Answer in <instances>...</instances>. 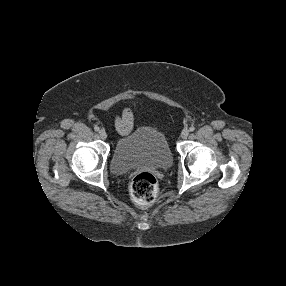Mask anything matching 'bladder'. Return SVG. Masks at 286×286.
Masks as SVG:
<instances>
[{
  "label": "bladder",
  "mask_w": 286,
  "mask_h": 286,
  "mask_svg": "<svg viewBox=\"0 0 286 286\" xmlns=\"http://www.w3.org/2000/svg\"><path fill=\"white\" fill-rule=\"evenodd\" d=\"M173 154L163 132L139 125L120 137L115 144L111 168L121 175L137 167L165 170L171 167Z\"/></svg>",
  "instance_id": "1"
}]
</instances>
